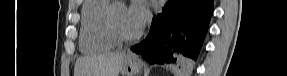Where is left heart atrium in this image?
Returning a JSON list of instances; mask_svg holds the SVG:
<instances>
[{
	"label": "left heart atrium",
	"mask_w": 287,
	"mask_h": 76,
	"mask_svg": "<svg viewBox=\"0 0 287 76\" xmlns=\"http://www.w3.org/2000/svg\"><path fill=\"white\" fill-rule=\"evenodd\" d=\"M128 14L132 22L139 28H143L149 19V10L142 0H135L128 8Z\"/></svg>",
	"instance_id": "left-heart-atrium-1"
}]
</instances>
